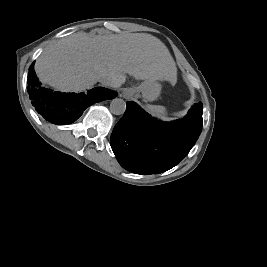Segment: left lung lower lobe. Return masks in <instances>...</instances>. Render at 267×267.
<instances>
[{"label": "left lung lower lobe", "instance_id": "0a47b994", "mask_svg": "<svg viewBox=\"0 0 267 267\" xmlns=\"http://www.w3.org/2000/svg\"><path fill=\"white\" fill-rule=\"evenodd\" d=\"M202 103L181 120L163 123L136 103L127 102L123 117L111 135L118 162L136 174H158L177 165L190 151L202 128Z\"/></svg>", "mask_w": 267, "mask_h": 267}]
</instances>
